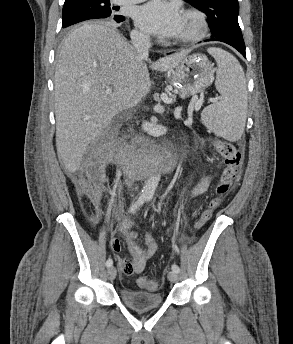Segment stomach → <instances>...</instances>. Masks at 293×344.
I'll return each instance as SVG.
<instances>
[{
  "label": "stomach",
  "mask_w": 293,
  "mask_h": 344,
  "mask_svg": "<svg viewBox=\"0 0 293 344\" xmlns=\"http://www.w3.org/2000/svg\"><path fill=\"white\" fill-rule=\"evenodd\" d=\"M167 79L184 95H194L213 82L214 69L205 55H186L168 71Z\"/></svg>",
  "instance_id": "stomach-1"
}]
</instances>
